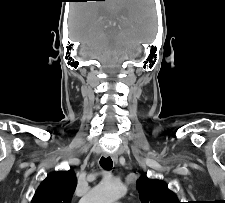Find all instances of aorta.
<instances>
[{"label": "aorta", "mask_w": 225, "mask_h": 203, "mask_svg": "<svg viewBox=\"0 0 225 203\" xmlns=\"http://www.w3.org/2000/svg\"><path fill=\"white\" fill-rule=\"evenodd\" d=\"M126 193V187L117 180H104L92 188L79 203H114Z\"/></svg>", "instance_id": "1"}]
</instances>
